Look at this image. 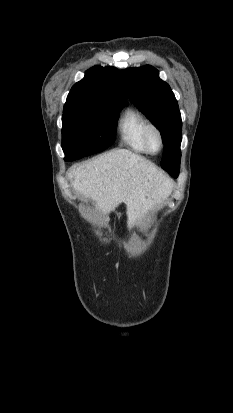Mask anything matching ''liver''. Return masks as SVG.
Segmentation results:
<instances>
[{"label": "liver", "mask_w": 233, "mask_h": 413, "mask_svg": "<svg viewBox=\"0 0 233 413\" xmlns=\"http://www.w3.org/2000/svg\"><path fill=\"white\" fill-rule=\"evenodd\" d=\"M68 177L73 179L74 190L95 201L104 214L125 203L129 227L161 207L173 188L172 181L155 164L127 149L75 164Z\"/></svg>", "instance_id": "1"}]
</instances>
